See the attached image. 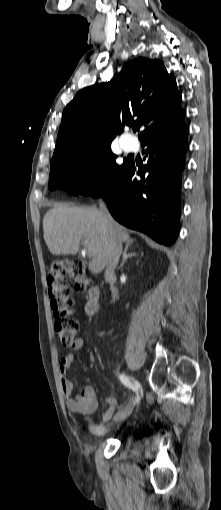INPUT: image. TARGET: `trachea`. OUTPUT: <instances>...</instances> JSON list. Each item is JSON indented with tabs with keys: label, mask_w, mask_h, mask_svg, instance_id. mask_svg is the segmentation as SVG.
Listing matches in <instances>:
<instances>
[{
	"label": "trachea",
	"mask_w": 221,
	"mask_h": 510,
	"mask_svg": "<svg viewBox=\"0 0 221 510\" xmlns=\"http://www.w3.org/2000/svg\"><path fill=\"white\" fill-rule=\"evenodd\" d=\"M138 130V128H133V131L136 132Z\"/></svg>",
	"instance_id": "obj_1"
}]
</instances>
